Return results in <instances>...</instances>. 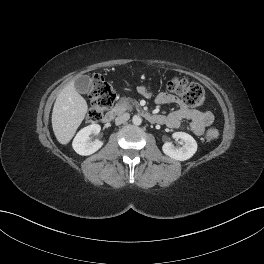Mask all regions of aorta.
I'll list each match as a JSON object with an SVG mask.
<instances>
[{
  "label": "aorta",
  "mask_w": 264,
  "mask_h": 264,
  "mask_svg": "<svg viewBox=\"0 0 264 264\" xmlns=\"http://www.w3.org/2000/svg\"><path fill=\"white\" fill-rule=\"evenodd\" d=\"M132 122L134 125H140L142 123V118L139 115H134Z\"/></svg>",
  "instance_id": "aorta-1"
}]
</instances>
